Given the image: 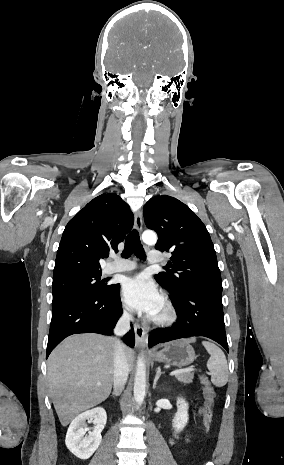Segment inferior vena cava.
<instances>
[{
	"label": "inferior vena cava",
	"instance_id": "inferior-vena-cava-1",
	"mask_svg": "<svg viewBox=\"0 0 284 465\" xmlns=\"http://www.w3.org/2000/svg\"><path fill=\"white\" fill-rule=\"evenodd\" d=\"M133 321L132 315H124L122 319H119L114 333L118 337H122L125 333L130 331V323ZM129 375V367L125 357L124 345L116 339L115 341V353H114V391L120 393L124 389L125 383H127Z\"/></svg>",
	"mask_w": 284,
	"mask_h": 465
}]
</instances>
